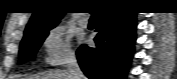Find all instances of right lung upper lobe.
I'll use <instances>...</instances> for the list:
<instances>
[{
    "label": "right lung upper lobe",
    "instance_id": "obj_1",
    "mask_svg": "<svg viewBox=\"0 0 177 79\" xmlns=\"http://www.w3.org/2000/svg\"><path fill=\"white\" fill-rule=\"evenodd\" d=\"M51 6L48 3H41L40 6L33 12V15L26 26L24 38H27L34 33L54 28L65 14L60 11H48Z\"/></svg>",
    "mask_w": 177,
    "mask_h": 79
}]
</instances>
